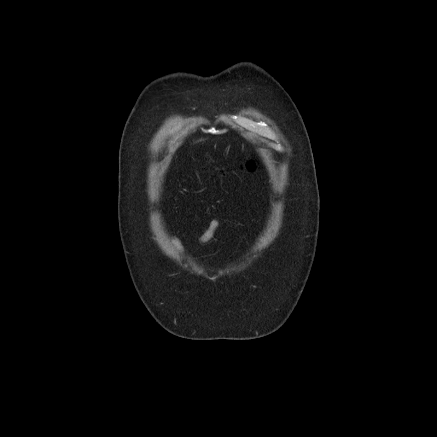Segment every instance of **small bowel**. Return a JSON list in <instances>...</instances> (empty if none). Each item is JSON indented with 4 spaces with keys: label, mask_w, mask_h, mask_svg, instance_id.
Wrapping results in <instances>:
<instances>
[{
    "label": "small bowel",
    "mask_w": 437,
    "mask_h": 437,
    "mask_svg": "<svg viewBox=\"0 0 437 437\" xmlns=\"http://www.w3.org/2000/svg\"><path fill=\"white\" fill-rule=\"evenodd\" d=\"M219 226V220L218 219H213L207 230L204 232V234L200 237L199 239V245H204L206 244L209 240H211V238L214 236L217 228ZM172 243L174 245V247L176 248V250L179 253H182L184 250L183 244L182 242L177 238V237H172Z\"/></svg>",
    "instance_id": "obj_1"
}]
</instances>
